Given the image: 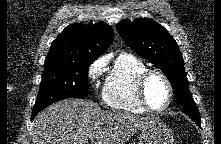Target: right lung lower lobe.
I'll use <instances>...</instances> for the list:
<instances>
[{
    "label": "right lung lower lobe",
    "instance_id": "1",
    "mask_svg": "<svg viewBox=\"0 0 221 144\" xmlns=\"http://www.w3.org/2000/svg\"><path fill=\"white\" fill-rule=\"evenodd\" d=\"M36 115H37V114H32V118H31V119H33Z\"/></svg>",
    "mask_w": 221,
    "mask_h": 144
}]
</instances>
